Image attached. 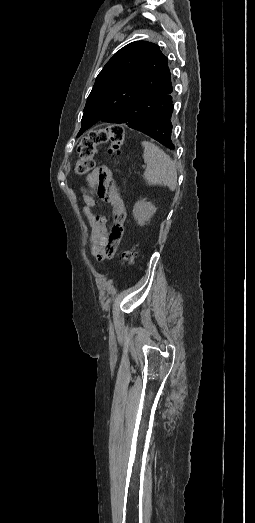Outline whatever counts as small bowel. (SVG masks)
<instances>
[{
	"mask_svg": "<svg viewBox=\"0 0 255 523\" xmlns=\"http://www.w3.org/2000/svg\"><path fill=\"white\" fill-rule=\"evenodd\" d=\"M89 188L96 190L100 200L108 203L113 210V223L110 230L106 219L94 212L97 205L95 197L82 191L83 213L87 216L91 232V255L99 262L111 259L116 253L123 236L126 209L119 186L111 172L105 166L95 168L86 177Z\"/></svg>",
	"mask_w": 255,
	"mask_h": 523,
	"instance_id": "small-bowel-1",
	"label": "small bowel"
}]
</instances>
